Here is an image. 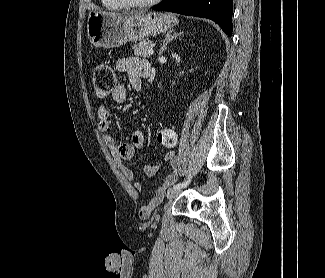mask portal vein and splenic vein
I'll list each match as a JSON object with an SVG mask.
<instances>
[{
  "mask_svg": "<svg viewBox=\"0 0 325 278\" xmlns=\"http://www.w3.org/2000/svg\"><path fill=\"white\" fill-rule=\"evenodd\" d=\"M148 54H149V55H153V54H154L153 49H149V50H148Z\"/></svg>",
  "mask_w": 325,
  "mask_h": 278,
  "instance_id": "18ae733b",
  "label": "portal vein and splenic vein"
}]
</instances>
